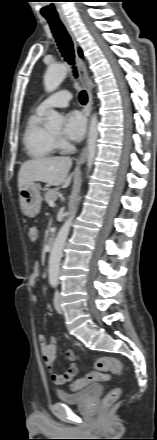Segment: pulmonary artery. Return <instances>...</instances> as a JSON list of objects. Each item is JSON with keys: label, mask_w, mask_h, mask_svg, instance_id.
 <instances>
[{"label": "pulmonary artery", "mask_w": 157, "mask_h": 440, "mask_svg": "<svg viewBox=\"0 0 157 440\" xmlns=\"http://www.w3.org/2000/svg\"><path fill=\"white\" fill-rule=\"evenodd\" d=\"M71 97L72 96L70 92L66 90L58 91L47 99L43 100L38 106V109L45 112L51 108L67 107L69 105Z\"/></svg>", "instance_id": "pulmonary-artery-1"}]
</instances>
